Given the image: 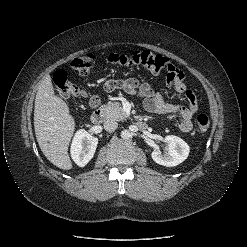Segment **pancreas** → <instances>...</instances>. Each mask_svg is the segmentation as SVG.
<instances>
[{
	"instance_id": "obj_1",
	"label": "pancreas",
	"mask_w": 247,
	"mask_h": 247,
	"mask_svg": "<svg viewBox=\"0 0 247 247\" xmlns=\"http://www.w3.org/2000/svg\"><path fill=\"white\" fill-rule=\"evenodd\" d=\"M100 109L107 118L117 121L125 120L128 117L119 102H109L102 105Z\"/></svg>"
}]
</instances>
